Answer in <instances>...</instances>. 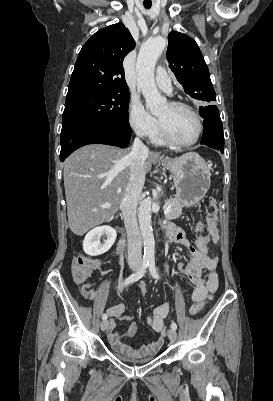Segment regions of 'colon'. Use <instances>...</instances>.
I'll return each instance as SVG.
<instances>
[{"instance_id": "1", "label": "colon", "mask_w": 273, "mask_h": 401, "mask_svg": "<svg viewBox=\"0 0 273 401\" xmlns=\"http://www.w3.org/2000/svg\"><path fill=\"white\" fill-rule=\"evenodd\" d=\"M70 269L73 270L74 279L76 282H87L88 276L95 274V262L88 261L87 257H72L69 264ZM189 282L201 281L203 276L201 274L189 273L187 276ZM136 288L139 290V297L145 298L150 285L148 283H138ZM91 287L88 284L83 285L81 294L84 297L89 296Z\"/></svg>"}]
</instances>
